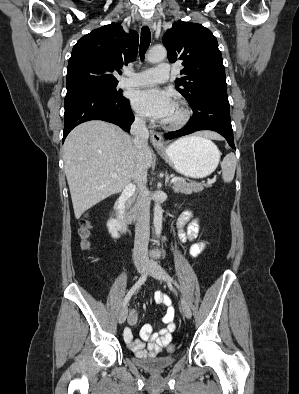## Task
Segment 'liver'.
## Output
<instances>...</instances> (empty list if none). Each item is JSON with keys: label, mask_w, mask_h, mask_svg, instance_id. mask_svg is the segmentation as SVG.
Returning <instances> with one entry per match:
<instances>
[{"label": "liver", "mask_w": 299, "mask_h": 394, "mask_svg": "<svg viewBox=\"0 0 299 394\" xmlns=\"http://www.w3.org/2000/svg\"><path fill=\"white\" fill-rule=\"evenodd\" d=\"M199 135L219 138L214 132ZM63 160L77 219L135 181L137 152L133 138L111 123L92 120L75 127L64 142ZM143 162L147 169L153 162V152L148 145L143 151ZM113 173L117 174L116 178Z\"/></svg>", "instance_id": "liver-1"}]
</instances>
